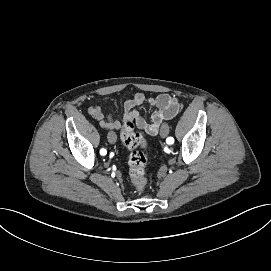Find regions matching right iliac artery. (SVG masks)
I'll return each mask as SVG.
<instances>
[{
  "label": "right iliac artery",
  "mask_w": 271,
  "mask_h": 271,
  "mask_svg": "<svg viewBox=\"0 0 271 271\" xmlns=\"http://www.w3.org/2000/svg\"><path fill=\"white\" fill-rule=\"evenodd\" d=\"M100 152H101V153H100V154H101V156H103V157H104V156H106V154H107V153H106L107 151H106V149H104V148H103V149H101V151H100Z\"/></svg>",
  "instance_id": "82829eb1"
}]
</instances>
